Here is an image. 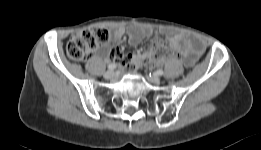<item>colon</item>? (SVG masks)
Instances as JSON below:
<instances>
[{"mask_svg":"<svg viewBox=\"0 0 261 150\" xmlns=\"http://www.w3.org/2000/svg\"><path fill=\"white\" fill-rule=\"evenodd\" d=\"M110 38L103 28L85 29L73 35L66 48L67 56L74 61H84L92 57L94 51ZM179 57V52L166 40H157L147 55L150 64H158Z\"/></svg>","mask_w":261,"mask_h":150,"instance_id":"obj_1","label":"colon"}]
</instances>
